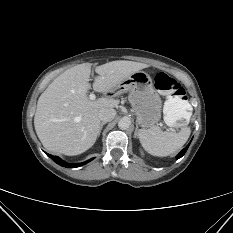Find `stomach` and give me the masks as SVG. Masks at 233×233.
Here are the masks:
<instances>
[{"label":"stomach","mask_w":233,"mask_h":233,"mask_svg":"<svg viewBox=\"0 0 233 233\" xmlns=\"http://www.w3.org/2000/svg\"><path fill=\"white\" fill-rule=\"evenodd\" d=\"M115 90L129 92L137 122L142 128L153 127L161 119L162 102L154 88L151 76L145 71H136L118 84Z\"/></svg>","instance_id":"stomach-1"}]
</instances>
